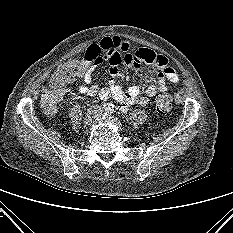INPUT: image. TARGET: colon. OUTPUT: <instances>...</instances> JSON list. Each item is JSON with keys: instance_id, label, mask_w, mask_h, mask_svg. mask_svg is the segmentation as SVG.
I'll list each match as a JSON object with an SVG mask.
<instances>
[{"instance_id": "colon-1", "label": "colon", "mask_w": 233, "mask_h": 233, "mask_svg": "<svg viewBox=\"0 0 233 233\" xmlns=\"http://www.w3.org/2000/svg\"><path fill=\"white\" fill-rule=\"evenodd\" d=\"M90 61L85 57L82 59H71L60 64L46 81L40 104L44 112L52 115L56 109L66 83L72 81L76 76L84 73ZM172 107V97L168 93L160 92L156 97V108L161 113L168 112Z\"/></svg>"}]
</instances>
